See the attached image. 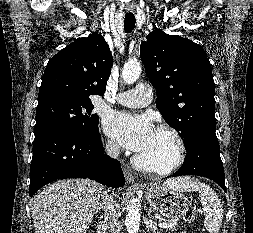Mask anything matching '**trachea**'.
Listing matches in <instances>:
<instances>
[{
  "label": "trachea",
  "mask_w": 253,
  "mask_h": 233,
  "mask_svg": "<svg viewBox=\"0 0 253 233\" xmlns=\"http://www.w3.org/2000/svg\"><path fill=\"white\" fill-rule=\"evenodd\" d=\"M135 22H136V19H135L134 14L131 12L126 13L125 19H124V29L126 33H130L133 30V28L135 27Z\"/></svg>",
  "instance_id": "3493384b"
}]
</instances>
